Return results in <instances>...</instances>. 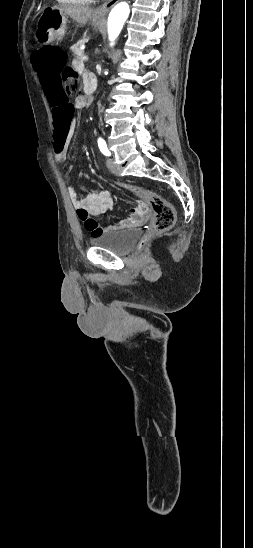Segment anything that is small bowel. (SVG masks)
<instances>
[{"instance_id": "1", "label": "small bowel", "mask_w": 253, "mask_h": 548, "mask_svg": "<svg viewBox=\"0 0 253 548\" xmlns=\"http://www.w3.org/2000/svg\"><path fill=\"white\" fill-rule=\"evenodd\" d=\"M71 69L80 71L82 66L78 61H73ZM92 75L87 74L85 80ZM92 101L91 96L79 95L71 103L73 113L76 109L87 107ZM52 106V105H51ZM55 134V132H54ZM72 133H68V137L63 141L62 149L54 148V158L58 163H64L67 160V148ZM55 143V141L53 140ZM70 199L76 208L79 218L83 221L86 230L92 235L97 236L106 232L121 230L125 228L139 226L145 223L149 216L150 210L147 202L139 200L131 209V217L114 224L100 225L93 217L104 215L107 211L114 207V198L106 191L100 190L84 194L75 190L73 187L68 188Z\"/></svg>"}]
</instances>
